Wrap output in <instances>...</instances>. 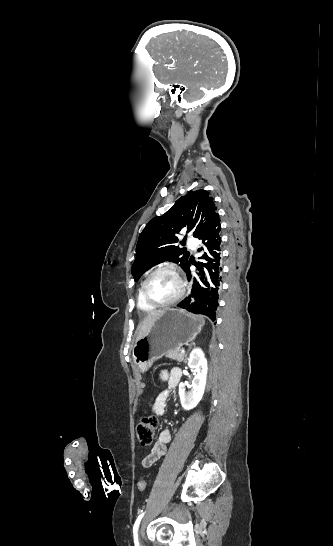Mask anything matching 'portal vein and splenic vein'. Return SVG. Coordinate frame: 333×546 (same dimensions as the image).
<instances>
[{"label": "portal vein and splenic vein", "instance_id": "1", "mask_svg": "<svg viewBox=\"0 0 333 546\" xmlns=\"http://www.w3.org/2000/svg\"><path fill=\"white\" fill-rule=\"evenodd\" d=\"M180 351H181V353H185V349H181Z\"/></svg>", "mask_w": 333, "mask_h": 546}]
</instances>
